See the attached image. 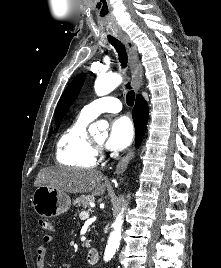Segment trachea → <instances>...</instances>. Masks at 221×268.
<instances>
[{"instance_id": "3493384b", "label": "trachea", "mask_w": 221, "mask_h": 268, "mask_svg": "<svg viewBox=\"0 0 221 268\" xmlns=\"http://www.w3.org/2000/svg\"><path fill=\"white\" fill-rule=\"evenodd\" d=\"M109 42L114 46L118 53L119 62L121 63L122 68H125L127 66L128 56L125 49V46L116 38H110ZM126 88L128 89V92L126 94V103L129 106H133L134 100H135V92L131 90L130 84H126Z\"/></svg>"}]
</instances>
